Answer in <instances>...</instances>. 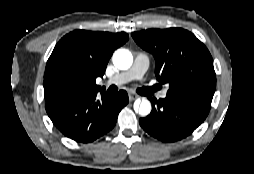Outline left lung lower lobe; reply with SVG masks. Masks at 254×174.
<instances>
[{"label": "left lung lower lobe", "instance_id": "left-lung-lower-lobe-1", "mask_svg": "<svg viewBox=\"0 0 254 174\" xmlns=\"http://www.w3.org/2000/svg\"><path fill=\"white\" fill-rule=\"evenodd\" d=\"M151 113L139 120L141 127L163 142H175L190 135L207 117L210 105L192 98H150Z\"/></svg>", "mask_w": 254, "mask_h": 174}]
</instances>
